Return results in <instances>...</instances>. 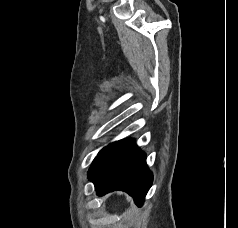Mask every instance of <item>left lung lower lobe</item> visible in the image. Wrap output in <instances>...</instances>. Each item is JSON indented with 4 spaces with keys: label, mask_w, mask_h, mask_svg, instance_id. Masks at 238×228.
<instances>
[{
    "label": "left lung lower lobe",
    "mask_w": 238,
    "mask_h": 228,
    "mask_svg": "<svg viewBox=\"0 0 238 228\" xmlns=\"http://www.w3.org/2000/svg\"><path fill=\"white\" fill-rule=\"evenodd\" d=\"M88 178L94 183L98 195L114 190L126 191L139 206L153 181L145 154L137 148L134 139L110 144L101 163Z\"/></svg>",
    "instance_id": "left-lung-lower-lobe-1"
}]
</instances>
